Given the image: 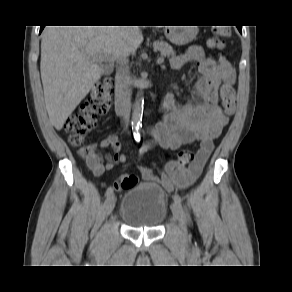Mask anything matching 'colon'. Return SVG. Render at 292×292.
<instances>
[{
	"mask_svg": "<svg viewBox=\"0 0 292 292\" xmlns=\"http://www.w3.org/2000/svg\"><path fill=\"white\" fill-rule=\"evenodd\" d=\"M230 34L228 25H217L212 30V36L207 44L213 50H221L224 47L223 39ZM220 97L226 115H232L236 109V95L232 85L223 84L220 88ZM113 101V86L109 79L98 83L92 90L90 98L82 106L79 112L69 117L65 122V131L71 145L80 147L86 137L95 127L97 121L105 116L111 109ZM92 149L82 147L81 154L88 157ZM195 153L191 150H182L175 160L180 165H187L195 160ZM137 184V178L132 174H125L120 179V187L129 189Z\"/></svg>",
	"mask_w": 292,
	"mask_h": 292,
	"instance_id": "colon-1",
	"label": "colon"
}]
</instances>
